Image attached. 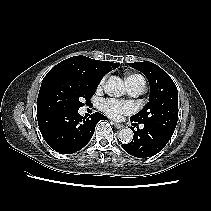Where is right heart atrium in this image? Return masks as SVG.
<instances>
[{"instance_id": "right-heart-atrium-1", "label": "right heart atrium", "mask_w": 211, "mask_h": 211, "mask_svg": "<svg viewBox=\"0 0 211 211\" xmlns=\"http://www.w3.org/2000/svg\"><path fill=\"white\" fill-rule=\"evenodd\" d=\"M104 83H105V78H103V79L100 81L99 86H100V87H101V86H103V85H104Z\"/></svg>"}]
</instances>
